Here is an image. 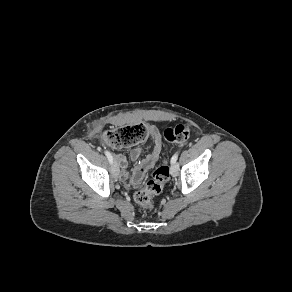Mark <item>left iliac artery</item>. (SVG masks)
<instances>
[{"instance_id": "1", "label": "left iliac artery", "mask_w": 292, "mask_h": 292, "mask_svg": "<svg viewBox=\"0 0 292 292\" xmlns=\"http://www.w3.org/2000/svg\"><path fill=\"white\" fill-rule=\"evenodd\" d=\"M178 155H179V151L176 152V153L172 156V158H171V164L176 163V161H177V159H178Z\"/></svg>"}]
</instances>
